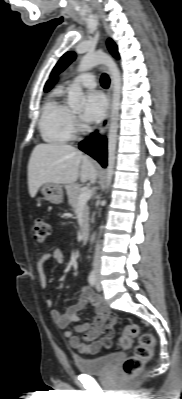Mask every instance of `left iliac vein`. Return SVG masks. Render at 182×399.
<instances>
[{"label": "left iliac vein", "instance_id": "4c4485c4", "mask_svg": "<svg viewBox=\"0 0 182 399\" xmlns=\"http://www.w3.org/2000/svg\"><path fill=\"white\" fill-rule=\"evenodd\" d=\"M96 290L97 291H101L102 290V287H101V284H100V276L99 275H97Z\"/></svg>", "mask_w": 182, "mask_h": 399}]
</instances>
